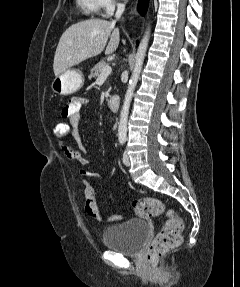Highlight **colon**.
<instances>
[{
  "label": "colon",
  "mask_w": 240,
  "mask_h": 287,
  "mask_svg": "<svg viewBox=\"0 0 240 287\" xmlns=\"http://www.w3.org/2000/svg\"><path fill=\"white\" fill-rule=\"evenodd\" d=\"M71 129V125L62 118L54 126L56 138L67 148L73 147ZM83 185L85 195L84 207L90 217L99 221L105 220L109 222L121 219L120 215L103 216L98 208L93 187L86 180L83 181ZM132 209L141 217L165 216V223L151 242L146 255L147 263L155 267L165 254L181 244L183 221L175 212L167 210L159 199L152 197L133 201Z\"/></svg>",
  "instance_id": "5ec220e1"
}]
</instances>
